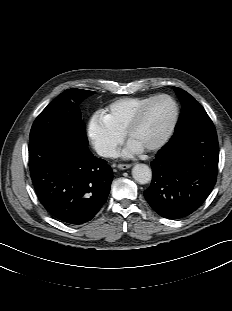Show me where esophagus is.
<instances>
[{
  "mask_svg": "<svg viewBox=\"0 0 232 311\" xmlns=\"http://www.w3.org/2000/svg\"><path fill=\"white\" fill-rule=\"evenodd\" d=\"M131 166H132L131 164H119L117 167L118 169L126 170L129 169Z\"/></svg>",
  "mask_w": 232,
  "mask_h": 311,
  "instance_id": "34e87169",
  "label": "esophagus"
}]
</instances>
